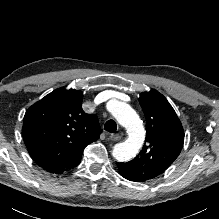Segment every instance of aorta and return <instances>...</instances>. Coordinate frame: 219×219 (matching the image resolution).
I'll list each match as a JSON object with an SVG mask.
<instances>
[{
    "mask_svg": "<svg viewBox=\"0 0 219 219\" xmlns=\"http://www.w3.org/2000/svg\"><path fill=\"white\" fill-rule=\"evenodd\" d=\"M108 109L116 120L128 131L126 141L114 146L112 155L119 162L131 160L140 150L145 139V130L141 119L134 109L123 102L108 103Z\"/></svg>",
    "mask_w": 219,
    "mask_h": 219,
    "instance_id": "1",
    "label": "aorta"
}]
</instances>
